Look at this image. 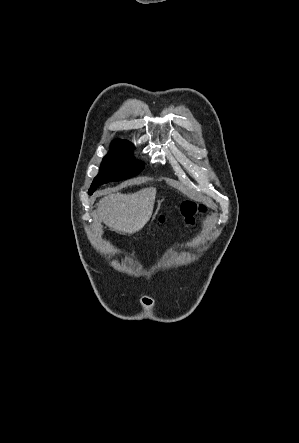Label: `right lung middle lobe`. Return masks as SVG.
Segmentation results:
<instances>
[{"mask_svg":"<svg viewBox=\"0 0 299 443\" xmlns=\"http://www.w3.org/2000/svg\"><path fill=\"white\" fill-rule=\"evenodd\" d=\"M132 147L123 140L113 142L111 152L103 158L100 172L89 189L90 195L99 185L131 178L144 169L142 162L133 159Z\"/></svg>","mask_w":299,"mask_h":443,"instance_id":"1","label":"right lung middle lobe"}]
</instances>
